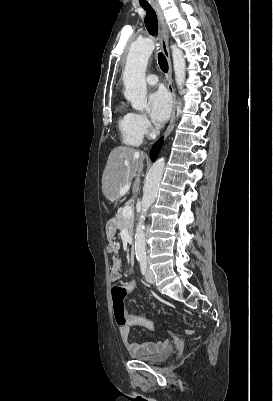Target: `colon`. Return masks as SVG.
Instances as JSON below:
<instances>
[{"label":"colon","mask_w":273,"mask_h":401,"mask_svg":"<svg viewBox=\"0 0 273 401\" xmlns=\"http://www.w3.org/2000/svg\"><path fill=\"white\" fill-rule=\"evenodd\" d=\"M126 288V289H125ZM142 288V285L139 283L127 284L126 287L115 285L114 286V296L113 299V316L115 319V323L118 326H124L127 321L123 299L127 291L139 290Z\"/></svg>","instance_id":"5ec220e1"}]
</instances>
